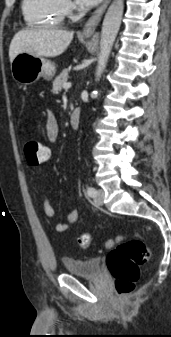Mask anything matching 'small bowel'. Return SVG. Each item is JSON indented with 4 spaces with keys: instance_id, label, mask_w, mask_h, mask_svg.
<instances>
[{
    "instance_id": "small-bowel-1",
    "label": "small bowel",
    "mask_w": 171,
    "mask_h": 337,
    "mask_svg": "<svg viewBox=\"0 0 171 337\" xmlns=\"http://www.w3.org/2000/svg\"><path fill=\"white\" fill-rule=\"evenodd\" d=\"M45 134L50 142L57 141L59 137V126L55 115L52 111H48L45 118ZM44 213L47 217L53 218L55 216V210L52 207L47 195L43 198ZM79 217L78 209H72L66 218V222H58L55 228L58 232H65L69 226L77 221Z\"/></svg>"
}]
</instances>
